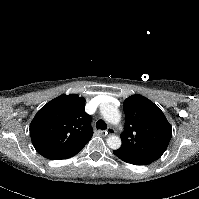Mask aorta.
I'll list each match as a JSON object with an SVG mask.
<instances>
[{"mask_svg": "<svg viewBox=\"0 0 199 199\" xmlns=\"http://www.w3.org/2000/svg\"><path fill=\"white\" fill-rule=\"evenodd\" d=\"M101 113L103 118L114 125L119 124V122L121 121V113L120 111L112 106V105H106L101 109ZM107 145L111 148V149H118L121 146V138L115 135H112L110 137H108L107 139Z\"/></svg>", "mask_w": 199, "mask_h": 199, "instance_id": "aorta-1", "label": "aorta"}]
</instances>
